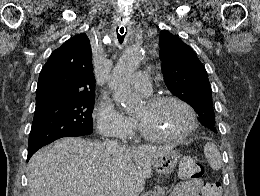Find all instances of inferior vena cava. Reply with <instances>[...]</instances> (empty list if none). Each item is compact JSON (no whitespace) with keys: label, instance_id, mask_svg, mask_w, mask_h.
I'll list each match as a JSON object with an SVG mask.
<instances>
[{"label":"inferior vena cava","instance_id":"602c4592","mask_svg":"<svg viewBox=\"0 0 260 196\" xmlns=\"http://www.w3.org/2000/svg\"><path fill=\"white\" fill-rule=\"evenodd\" d=\"M103 144L106 148H109V150H115V152H122L123 148H125V146L119 144L118 140H105Z\"/></svg>","mask_w":260,"mask_h":196}]
</instances>
